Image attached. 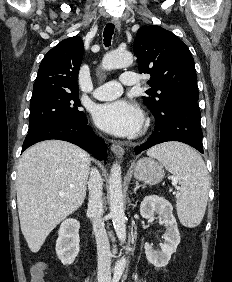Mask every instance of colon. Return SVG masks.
<instances>
[{"label":"colon","mask_w":232,"mask_h":282,"mask_svg":"<svg viewBox=\"0 0 232 282\" xmlns=\"http://www.w3.org/2000/svg\"><path fill=\"white\" fill-rule=\"evenodd\" d=\"M45 265L38 263L33 267L32 270V282H45Z\"/></svg>","instance_id":"colon-1"}]
</instances>
